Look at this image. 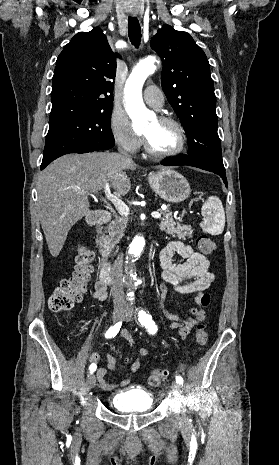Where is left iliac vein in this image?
I'll list each match as a JSON object with an SVG mask.
<instances>
[{
  "label": "left iliac vein",
  "mask_w": 279,
  "mask_h": 465,
  "mask_svg": "<svg viewBox=\"0 0 279 465\" xmlns=\"http://www.w3.org/2000/svg\"><path fill=\"white\" fill-rule=\"evenodd\" d=\"M132 318H133V313L131 310L129 309H126L124 311V314L122 316V319L127 321V322H130L132 321ZM172 394L176 397V398H179L180 397V385L176 382H173L172 383ZM182 420L184 421L185 418L182 417Z\"/></svg>",
  "instance_id": "obj_1"
}]
</instances>
